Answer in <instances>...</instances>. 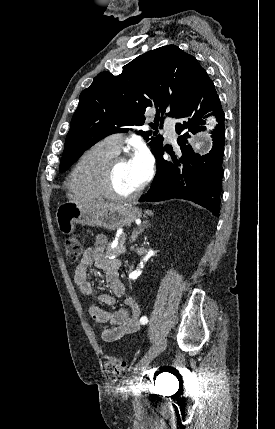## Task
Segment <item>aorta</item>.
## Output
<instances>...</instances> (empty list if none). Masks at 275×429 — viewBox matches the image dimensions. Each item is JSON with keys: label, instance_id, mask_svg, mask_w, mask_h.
I'll use <instances>...</instances> for the list:
<instances>
[{"label": "aorta", "instance_id": "1", "mask_svg": "<svg viewBox=\"0 0 275 429\" xmlns=\"http://www.w3.org/2000/svg\"><path fill=\"white\" fill-rule=\"evenodd\" d=\"M203 138L202 136H199L198 138H196V146L198 149L202 148L204 142H203Z\"/></svg>", "mask_w": 275, "mask_h": 429}]
</instances>
